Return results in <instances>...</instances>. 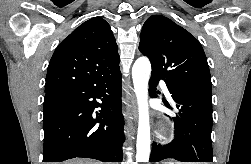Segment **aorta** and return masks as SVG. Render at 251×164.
Listing matches in <instances>:
<instances>
[{
    "instance_id": "762f6f07",
    "label": "aorta",
    "mask_w": 251,
    "mask_h": 164,
    "mask_svg": "<svg viewBox=\"0 0 251 164\" xmlns=\"http://www.w3.org/2000/svg\"><path fill=\"white\" fill-rule=\"evenodd\" d=\"M151 64L147 57L138 58L132 68L134 91L138 103L137 162H147L150 155V122L148 106V81Z\"/></svg>"
}]
</instances>
